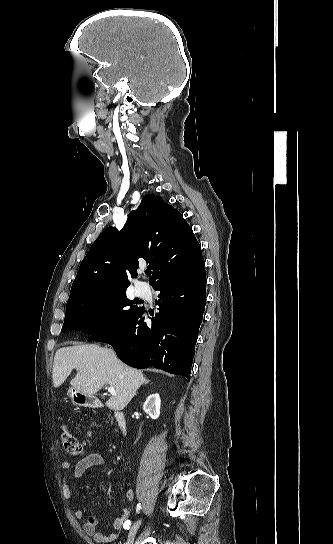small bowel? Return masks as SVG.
<instances>
[{
  "label": "small bowel",
  "mask_w": 333,
  "mask_h": 544,
  "mask_svg": "<svg viewBox=\"0 0 333 544\" xmlns=\"http://www.w3.org/2000/svg\"><path fill=\"white\" fill-rule=\"evenodd\" d=\"M103 464V457L98 453H91L80 459L74 466L70 462L64 461L61 464L62 469V496L65 500L72 497L70 481L81 477L89 468L100 466ZM135 497L132 489L126 491L127 500L131 501ZM130 516L128 508L123 509L122 514L117 517L113 523L114 532L104 534L97 529L98 518L95 515H89L85 518V513L82 509H77L74 512V517L77 520L85 518L83 523L84 531L97 542H111L117 538V531L120 530Z\"/></svg>",
  "instance_id": "small-bowel-1"
}]
</instances>
